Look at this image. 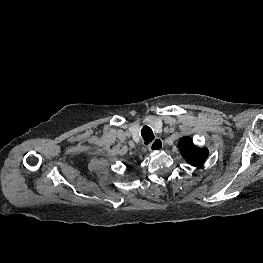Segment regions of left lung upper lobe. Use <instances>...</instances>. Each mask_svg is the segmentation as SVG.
Returning a JSON list of instances; mask_svg holds the SVG:
<instances>
[{
  "label": "left lung upper lobe",
  "mask_w": 263,
  "mask_h": 263,
  "mask_svg": "<svg viewBox=\"0 0 263 263\" xmlns=\"http://www.w3.org/2000/svg\"><path fill=\"white\" fill-rule=\"evenodd\" d=\"M178 147L183 158L192 166H200L209 153L207 148L195 146L190 137L181 138Z\"/></svg>",
  "instance_id": "left-lung-upper-lobe-1"
}]
</instances>
